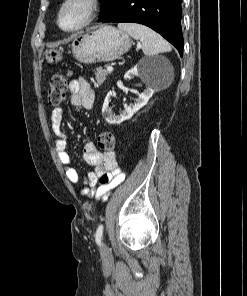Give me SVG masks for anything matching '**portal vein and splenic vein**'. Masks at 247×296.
I'll use <instances>...</instances> for the list:
<instances>
[{
    "label": "portal vein and splenic vein",
    "mask_w": 247,
    "mask_h": 296,
    "mask_svg": "<svg viewBox=\"0 0 247 296\" xmlns=\"http://www.w3.org/2000/svg\"><path fill=\"white\" fill-rule=\"evenodd\" d=\"M107 71H109V72L113 71V67H112V65H108V66H107Z\"/></svg>",
    "instance_id": "18ae733b"
}]
</instances>
